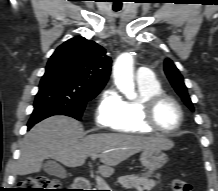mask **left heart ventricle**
<instances>
[{
	"instance_id": "left-heart-ventricle-1",
	"label": "left heart ventricle",
	"mask_w": 218,
	"mask_h": 191,
	"mask_svg": "<svg viewBox=\"0 0 218 191\" xmlns=\"http://www.w3.org/2000/svg\"><path fill=\"white\" fill-rule=\"evenodd\" d=\"M155 119L157 124L166 130L174 129L179 124V112L170 101H162L156 108Z\"/></svg>"
}]
</instances>
